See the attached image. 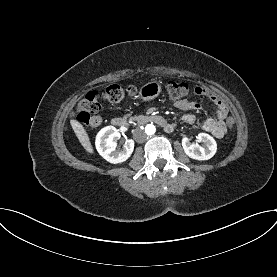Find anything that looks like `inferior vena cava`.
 Masks as SVG:
<instances>
[{"label": "inferior vena cava", "instance_id": "602c4592", "mask_svg": "<svg viewBox=\"0 0 277 277\" xmlns=\"http://www.w3.org/2000/svg\"><path fill=\"white\" fill-rule=\"evenodd\" d=\"M134 138L137 142L139 143H143L144 141H146L147 139V135L144 131H142L141 129H136L134 131Z\"/></svg>", "mask_w": 277, "mask_h": 277}]
</instances>
